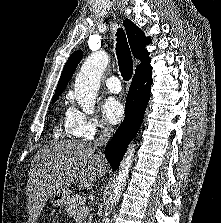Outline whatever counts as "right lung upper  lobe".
Masks as SVG:
<instances>
[{
  "label": "right lung upper lobe",
  "instance_id": "cb5924a9",
  "mask_svg": "<svg viewBox=\"0 0 221 223\" xmlns=\"http://www.w3.org/2000/svg\"><path fill=\"white\" fill-rule=\"evenodd\" d=\"M123 26L125 27L133 56L141 61V63L136 67L135 73L152 71L149 53L145 49V46L151 42L150 38L145 37L143 31L138 28L134 23H132L129 19L124 20ZM82 55V51L79 50L74 52L67 60L63 68L53 99L58 98L59 95H61V93L64 91L78 63L82 59Z\"/></svg>",
  "mask_w": 221,
  "mask_h": 223
}]
</instances>
